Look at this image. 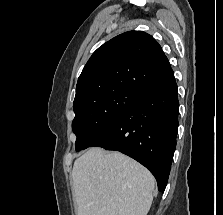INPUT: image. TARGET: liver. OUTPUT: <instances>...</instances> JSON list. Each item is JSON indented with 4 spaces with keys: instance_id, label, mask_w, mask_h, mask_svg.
I'll return each mask as SVG.
<instances>
[{
    "instance_id": "6515ba94",
    "label": "liver",
    "mask_w": 223,
    "mask_h": 215,
    "mask_svg": "<svg viewBox=\"0 0 223 215\" xmlns=\"http://www.w3.org/2000/svg\"><path fill=\"white\" fill-rule=\"evenodd\" d=\"M72 175L78 215H147L151 207L155 177L120 151L90 147Z\"/></svg>"
}]
</instances>
